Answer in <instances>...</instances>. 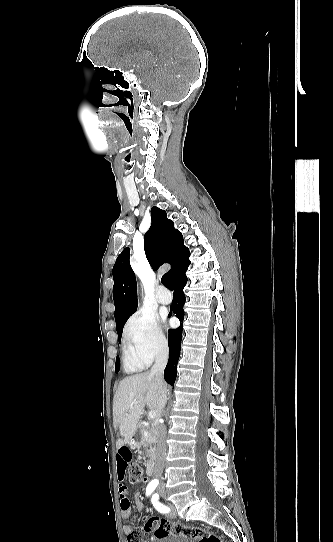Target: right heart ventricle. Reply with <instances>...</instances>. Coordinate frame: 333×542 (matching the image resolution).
<instances>
[{
	"label": "right heart ventricle",
	"mask_w": 333,
	"mask_h": 542,
	"mask_svg": "<svg viewBox=\"0 0 333 542\" xmlns=\"http://www.w3.org/2000/svg\"><path fill=\"white\" fill-rule=\"evenodd\" d=\"M151 361L152 358L137 346L127 343L123 345V363L127 370L131 372L142 371L150 365Z\"/></svg>",
	"instance_id": "obj_1"
}]
</instances>
